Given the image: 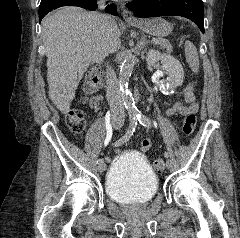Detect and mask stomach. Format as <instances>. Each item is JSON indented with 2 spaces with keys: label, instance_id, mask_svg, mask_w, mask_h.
I'll list each match as a JSON object with an SVG mask.
<instances>
[{
  "label": "stomach",
  "instance_id": "1",
  "mask_svg": "<svg viewBox=\"0 0 240 238\" xmlns=\"http://www.w3.org/2000/svg\"><path fill=\"white\" fill-rule=\"evenodd\" d=\"M131 24L143 32L156 37H165L170 34L173 29L172 24L163 18L144 19Z\"/></svg>",
  "mask_w": 240,
  "mask_h": 238
}]
</instances>
